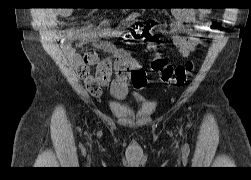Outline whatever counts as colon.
Listing matches in <instances>:
<instances>
[{"label": "colon", "mask_w": 251, "mask_h": 180, "mask_svg": "<svg viewBox=\"0 0 251 180\" xmlns=\"http://www.w3.org/2000/svg\"><path fill=\"white\" fill-rule=\"evenodd\" d=\"M126 38L140 41L146 44L150 50L155 52V56L151 62V68L160 75L163 82L181 86L192 73V62H186L177 66H172L168 63V61L158 52V36L152 32L147 25L134 23L130 27Z\"/></svg>", "instance_id": "obj_1"}]
</instances>
